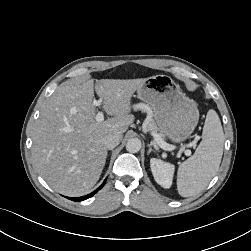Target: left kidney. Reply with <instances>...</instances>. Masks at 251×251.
Wrapping results in <instances>:
<instances>
[{"label": "left kidney", "instance_id": "obj_1", "mask_svg": "<svg viewBox=\"0 0 251 251\" xmlns=\"http://www.w3.org/2000/svg\"><path fill=\"white\" fill-rule=\"evenodd\" d=\"M150 167L155 181L164 188H170L175 166L161 159L152 158Z\"/></svg>", "mask_w": 251, "mask_h": 251}]
</instances>
